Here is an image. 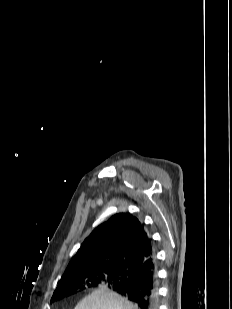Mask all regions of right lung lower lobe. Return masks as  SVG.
Masks as SVG:
<instances>
[{"mask_svg": "<svg viewBox=\"0 0 232 309\" xmlns=\"http://www.w3.org/2000/svg\"><path fill=\"white\" fill-rule=\"evenodd\" d=\"M125 284L113 290L137 304L139 309H158L157 263L155 254L146 259L139 267L129 268Z\"/></svg>", "mask_w": 232, "mask_h": 309, "instance_id": "obj_1", "label": "right lung lower lobe"}]
</instances>
